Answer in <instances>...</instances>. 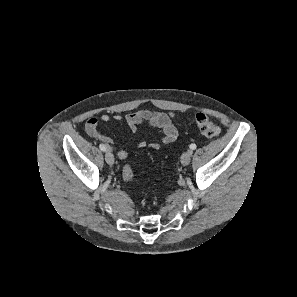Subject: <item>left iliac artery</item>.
<instances>
[{"label":"left iliac artery","instance_id":"44dca946","mask_svg":"<svg viewBox=\"0 0 297 297\" xmlns=\"http://www.w3.org/2000/svg\"><path fill=\"white\" fill-rule=\"evenodd\" d=\"M190 149L195 150L196 149V144H194V143L190 144Z\"/></svg>","mask_w":297,"mask_h":297}]
</instances>
